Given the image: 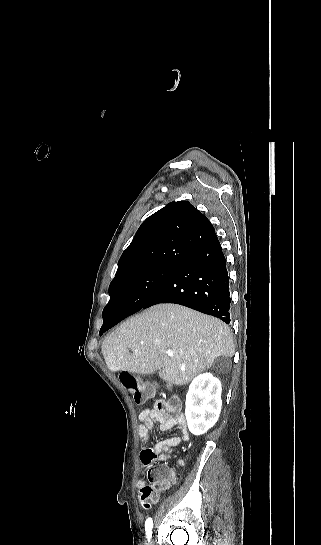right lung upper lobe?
Segmentation results:
<instances>
[{"instance_id":"obj_1","label":"right lung upper lobe","mask_w":321,"mask_h":545,"mask_svg":"<svg viewBox=\"0 0 321 545\" xmlns=\"http://www.w3.org/2000/svg\"><path fill=\"white\" fill-rule=\"evenodd\" d=\"M214 237L210 221L188 201L171 203L141 224L118 262L115 277L158 264L181 266Z\"/></svg>"}]
</instances>
